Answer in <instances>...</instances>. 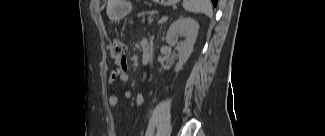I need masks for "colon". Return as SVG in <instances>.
I'll return each mask as SVG.
<instances>
[{"instance_id":"colon-1","label":"colon","mask_w":325,"mask_h":136,"mask_svg":"<svg viewBox=\"0 0 325 136\" xmlns=\"http://www.w3.org/2000/svg\"><path fill=\"white\" fill-rule=\"evenodd\" d=\"M125 51V44L121 40L116 39L110 47V56L116 61H123L125 59Z\"/></svg>"}]
</instances>
